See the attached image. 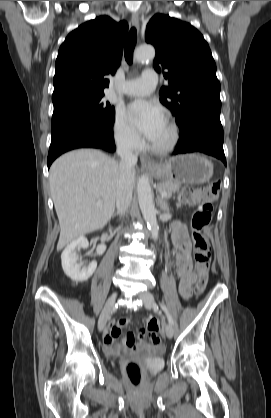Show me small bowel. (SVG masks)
<instances>
[{
    "instance_id": "small-bowel-1",
    "label": "small bowel",
    "mask_w": 271,
    "mask_h": 418,
    "mask_svg": "<svg viewBox=\"0 0 271 418\" xmlns=\"http://www.w3.org/2000/svg\"><path fill=\"white\" fill-rule=\"evenodd\" d=\"M172 236L175 245V265L180 279L179 292L182 298L188 299L192 296L195 281L191 262V242L186 227L181 223L174 224ZM130 323V318L121 317L116 322L109 324L103 337L106 353L118 355L123 351L141 353L163 349L160 343L155 344L150 340L151 345H148L145 342L146 334H150L148 329H141L137 334L130 332L123 338L122 344L116 343V339L120 336L122 329Z\"/></svg>"
}]
</instances>
